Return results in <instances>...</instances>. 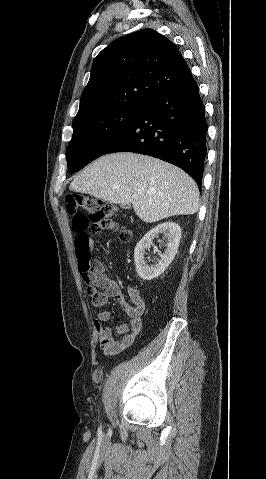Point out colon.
I'll list each match as a JSON object with an SVG mask.
<instances>
[{
	"label": "colon",
	"instance_id": "colon-1",
	"mask_svg": "<svg viewBox=\"0 0 266 479\" xmlns=\"http://www.w3.org/2000/svg\"><path fill=\"white\" fill-rule=\"evenodd\" d=\"M65 209L72 217L78 271L86 285L87 294L93 299L97 295V287L94 284V263L88 232L94 235L109 232L117 235L122 242L130 241L131 232L113 219L117 212L115 205L102 199L70 192L65 196Z\"/></svg>",
	"mask_w": 266,
	"mask_h": 479
}]
</instances>
